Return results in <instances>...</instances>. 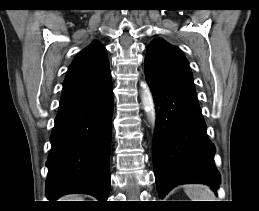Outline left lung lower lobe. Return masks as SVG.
Segmentation results:
<instances>
[{
  "instance_id": "obj_1",
  "label": "left lung lower lobe",
  "mask_w": 259,
  "mask_h": 211,
  "mask_svg": "<svg viewBox=\"0 0 259 211\" xmlns=\"http://www.w3.org/2000/svg\"><path fill=\"white\" fill-rule=\"evenodd\" d=\"M148 82L157 112L153 162L160 197L183 183H203L216 191L220 174L214 165L215 147L206 134L196 93Z\"/></svg>"
}]
</instances>
